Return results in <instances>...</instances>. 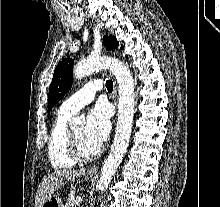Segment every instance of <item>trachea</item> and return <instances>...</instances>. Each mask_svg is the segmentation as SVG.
<instances>
[{"instance_id":"3493384b","label":"trachea","mask_w":220,"mask_h":207,"mask_svg":"<svg viewBox=\"0 0 220 207\" xmlns=\"http://www.w3.org/2000/svg\"><path fill=\"white\" fill-rule=\"evenodd\" d=\"M106 88L109 92L113 90V82L111 80L106 81Z\"/></svg>"}]
</instances>
